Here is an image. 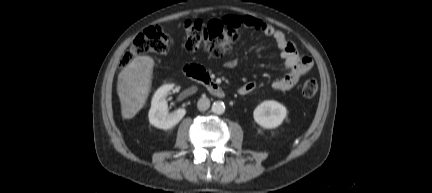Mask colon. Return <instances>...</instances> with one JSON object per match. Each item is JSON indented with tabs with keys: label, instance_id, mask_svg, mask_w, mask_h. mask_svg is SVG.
I'll use <instances>...</instances> for the list:
<instances>
[{
	"label": "colon",
	"instance_id": "5ec220e1",
	"mask_svg": "<svg viewBox=\"0 0 432 193\" xmlns=\"http://www.w3.org/2000/svg\"><path fill=\"white\" fill-rule=\"evenodd\" d=\"M185 49L196 51L203 48L213 57H222L232 48L238 37V29L221 20L207 23L201 20H187L184 23ZM172 39L158 26H151L142 31L122 56L120 65L127 66L135 57L147 53L165 54L172 47ZM302 95L312 98L318 91V82L307 79L302 85Z\"/></svg>",
	"mask_w": 432,
	"mask_h": 193
}]
</instances>
